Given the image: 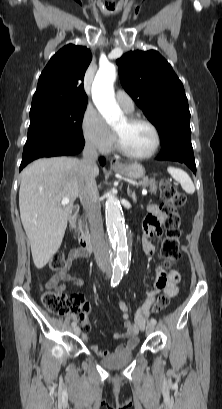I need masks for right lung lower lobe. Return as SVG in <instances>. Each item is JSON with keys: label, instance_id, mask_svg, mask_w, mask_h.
I'll return each mask as SVG.
<instances>
[{"label": "right lung lower lobe", "instance_id": "98d812e1", "mask_svg": "<svg viewBox=\"0 0 222 409\" xmlns=\"http://www.w3.org/2000/svg\"><path fill=\"white\" fill-rule=\"evenodd\" d=\"M84 145L80 148H76L75 150L68 152V153H63V154H40V155H35V156H31L28 157L26 159H22L19 171H21L28 163H30L31 161L37 159V158H41V157H51V156H61V155H75L78 154L79 152H81V150L83 149ZM100 164L103 166L105 164V159L103 157H101L99 159Z\"/></svg>", "mask_w": 222, "mask_h": 409}]
</instances>
